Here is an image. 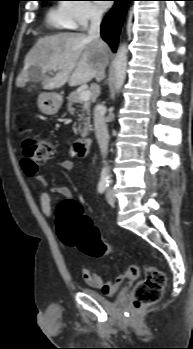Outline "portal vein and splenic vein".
<instances>
[{
	"mask_svg": "<svg viewBox=\"0 0 193 349\" xmlns=\"http://www.w3.org/2000/svg\"><path fill=\"white\" fill-rule=\"evenodd\" d=\"M91 97V92L90 90H83L80 92V99L84 101H88Z\"/></svg>",
	"mask_w": 193,
	"mask_h": 349,
	"instance_id": "portal-vein-and-splenic-vein-1",
	"label": "portal vein and splenic vein"
}]
</instances>
